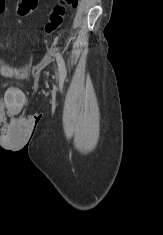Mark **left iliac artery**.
<instances>
[{
  "label": "left iliac artery",
  "instance_id": "44dca946",
  "mask_svg": "<svg viewBox=\"0 0 163 235\" xmlns=\"http://www.w3.org/2000/svg\"><path fill=\"white\" fill-rule=\"evenodd\" d=\"M56 59H57V64L59 68L60 78L64 79L66 77V66H65L64 59L60 53L56 54Z\"/></svg>",
  "mask_w": 163,
  "mask_h": 235
}]
</instances>
